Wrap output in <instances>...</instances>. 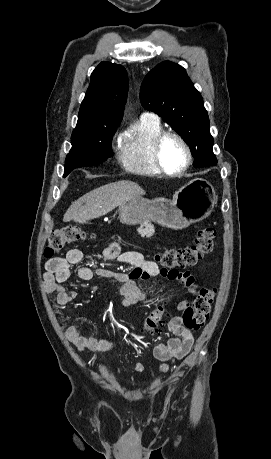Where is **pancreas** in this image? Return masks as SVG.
Instances as JSON below:
<instances>
[{
  "mask_svg": "<svg viewBox=\"0 0 271 459\" xmlns=\"http://www.w3.org/2000/svg\"><path fill=\"white\" fill-rule=\"evenodd\" d=\"M140 231H142V233L144 235H147L149 233V230L148 229H151V233H153V226H151V224H145V228L142 230V228H139Z\"/></svg>",
  "mask_w": 271,
  "mask_h": 459,
  "instance_id": "obj_1",
  "label": "pancreas"
}]
</instances>
